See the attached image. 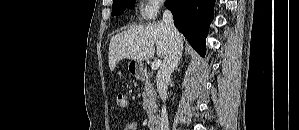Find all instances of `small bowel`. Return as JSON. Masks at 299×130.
Here are the masks:
<instances>
[{"mask_svg":"<svg viewBox=\"0 0 299 130\" xmlns=\"http://www.w3.org/2000/svg\"><path fill=\"white\" fill-rule=\"evenodd\" d=\"M138 125L136 122H128L124 125L122 130H137Z\"/></svg>","mask_w":299,"mask_h":130,"instance_id":"c3829d8e","label":"small bowel"}]
</instances>
